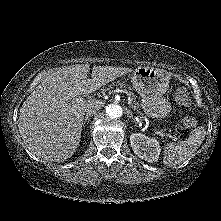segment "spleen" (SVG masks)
<instances>
[{"label":"spleen","instance_id":"obj_1","mask_svg":"<svg viewBox=\"0 0 221 221\" xmlns=\"http://www.w3.org/2000/svg\"><path fill=\"white\" fill-rule=\"evenodd\" d=\"M205 134L204 128L198 127L191 132L188 139L167 144L164 150L163 163L174 165L189 159L202 144Z\"/></svg>","mask_w":221,"mask_h":221}]
</instances>
